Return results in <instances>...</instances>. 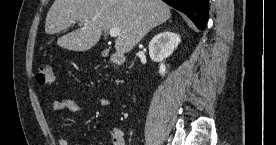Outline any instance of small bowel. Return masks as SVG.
Wrapping results in <instances>:
<instances>
[{
    "label": "small bowel",
    "instance_id": "1",
    "mask_svg": "<svg viewBox=\"0 0 276 145\" xmlns=\"http://www.w3.org/2000/svg\"><path fill=\"white\" fill-rule=\"evenodd\" d=\"M97 103L102 106L106 107L109 104V101L106 97H98ZM82 108V104L73 100H70L65 97H60L53 103V112L55 114L63 111V110H71L76 111ZM108 135L110 137L112 145H125V139H124V131L121 127H114L111 130L108 131ZM58 145H69V142L64 137H58L57 139Z\"/></svg>",
    "mask_w": 276,
    "mask_h": 145
}]
</instances>
